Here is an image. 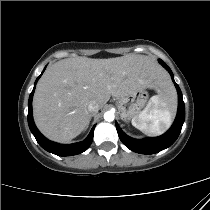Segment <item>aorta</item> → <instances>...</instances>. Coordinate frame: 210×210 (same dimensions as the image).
<instances>
[{
  "label": "aorta",
  "instance_id": "aorta-1",
  "mask_svg": "<svg viewBox=\"0 0 210 210\" xmlns=\"http://www.w3.org/2000/svg\"><path fill=\"white\" fill-rule=\"evenodd\" d=\"M114 117H115V115L112 111H107V112L104 113L105 121L111 122V121L114 120Z\"/></svg>",
  "mask_w": 210,
  "mask_h": 210
}]
</instances>
